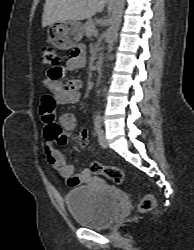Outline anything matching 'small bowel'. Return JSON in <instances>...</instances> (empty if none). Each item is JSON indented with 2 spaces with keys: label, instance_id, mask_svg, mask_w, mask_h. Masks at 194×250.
I'll list each match as a JSON object with an SVG mask.
<instances>
[{
  "label": "small bowel",
  "instance_id": "1",
  "mask_svg": "<svg viewBox=\"0 0 194 250\" xmlns=\"http://www.w3.org/2000/svg\"><path fill=\"white\" fill-rule=\"evenodd\" d=\"M84 47L79 46L74 49V55L67 65L61 68V72L77 70L84 66ZM47 89L51 92L55 103L71 104L80 99L83 86L80 80H70L67 83L55 81L52 77L45 81ZM42 122L44 124L43 135L45 139L44 152L49 164L66 181L69 187H76L91 180V173L84 169L79 174H75V168L68 163L65 157L55 148L54 143L65 144L70 133L76 126V118L72 113H63L58 116L54 110L41 111ZM79 140L88 144V135L85 132L79 134Z\"/></svg>",
  "mask_w": 194,
  "mask_h": 250
}]
</instances>
